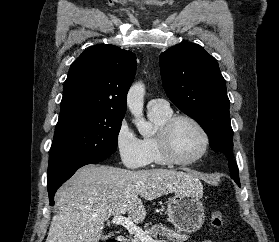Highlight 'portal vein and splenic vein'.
Segmentation results:
<instances>
[{"label":"portal vein and splenic vein","instance_id":"18ae733b","mask_svg":"<svg viewBox=\"0 0 279 242\" xmlns=\"http://www.w3.org/2000/svg\"><path fill=\"white\" fill-rule=\"evenodd\" d=\"M111 223L115 225H122L125 227L131 234H134L135 237L139 238L141 242H162L158 240H154L151 238L146 231H143L140 227H138L130 217H124L122 215H114Z\"/></svg>","mask_w":279,"mask_h":242}]
</instances>
